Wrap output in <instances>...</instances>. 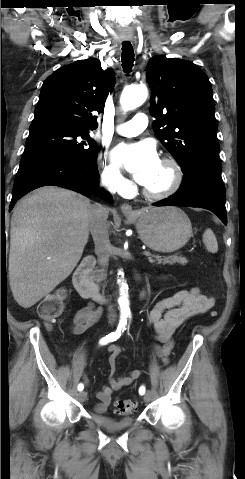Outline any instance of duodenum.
Here are the masks:
<instances>
[{"instance_id": "obj_1", "label": "duodenum", "mask_w": 245, "mask_h": 479, "mask_svg": "<svg viewBox=\"0 0 245 479\" xmlns=\"http://www.w3.org/2000/svg\"><path fill=\"white\" fill-rule=\"evenodd\" d=\"M95 267L93 256H87L76 268L73 275V285L78 293L84 298H92L101 302L104 296L98 284L90 278V272Z\"/></svg>"}]
</instances>
